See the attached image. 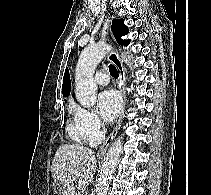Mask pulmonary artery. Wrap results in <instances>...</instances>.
Returning <instances> with one entry per match:
<instances>
[{"instance_id": "pulmonary-artery-1", "label": "pulmonary artery", "mask_w": 211, "mask_h": 195, "mask_svg": "<svg viewBox=\"0 0 211 195\" xmlns=\"http://www.w3.org/2000/svg\"><path fill=\"white\" fill-rule=\"evenodd\" d=\"M95 82L100 86H105L109 83V76L106 72L99 71L95 74Z\"/></svg>"}]
</instances>
